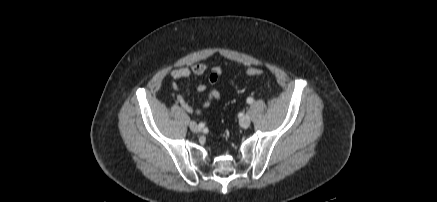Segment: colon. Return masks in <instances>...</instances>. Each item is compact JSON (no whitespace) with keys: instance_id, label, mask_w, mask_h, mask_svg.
<instances>
[{"instance_id":"colon-1","label":"colon","mask_w":437,"mask_h":202,"mask_svg":"<svg viewBox=\"0 0 437 202\" xmlns=\"http://www.w3.org/2000/svg\"><path fill=\"white\" fill-rule=\"evenodd\" d=\"M245 73H246V75H248V76H251V77H257V76L262 75L263 71H262L261 69H259V68L251 67V68H248V69L245 71Z\"/></svg>"}]
</instances>
